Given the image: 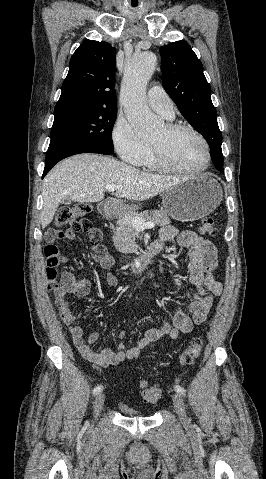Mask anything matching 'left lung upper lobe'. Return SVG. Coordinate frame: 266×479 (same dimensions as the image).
Segmentation results:
<instances>
[{"mask_svg": "<svg viewBox=\"0 0 266 479\" xmlns=\"http://www.w3.org/2000/svg\"><path fill=\"white\" fill-rule=\"evenodd\" d=\"M160 53L165 91L186 120L203 135L213 164L223 172L222 135L201 61L184 40L162 46Z\"/></svg>", "mask_w": 266, "mask_h": 479, "instance_id": "obj_1", "label": "left lung upper lobe"}]
</instances>
